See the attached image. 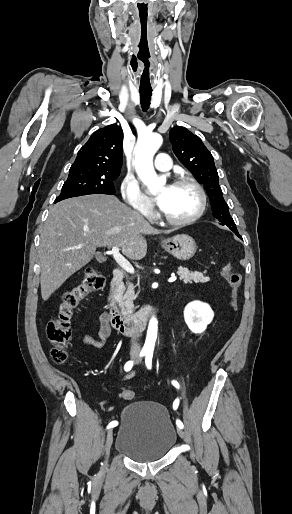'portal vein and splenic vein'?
<instances>
[{
    "label": "portal vein and splenic vein",
    "mask_w": 292,
    "mask_h": 514,
    "mask_svg": "<svg viewBox=\"0 0 292 514\" xmlns=\"http://www.w3.org/2000/svg\"><path fill=\"white\" fill-rule=\"evenodd\" d=\"M110 254H112L114 260H116L117 264H119V266H121V268H123L125 272H129V274H134L135 270L133 266H131V264H129V262H127V260H125V258L121 256L119 248H117V246H115V248H112V252H110ZM175 280H177L176 276H172V278H169L168 282H175Z\"/></svg>",
    "instance_id": "18ae733b"
}]
</instances>
